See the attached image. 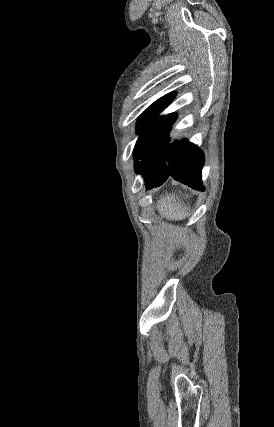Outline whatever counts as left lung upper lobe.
<instances>
[{
  "mask_svg": "<svg viewBox=\"0 0 274 427\" xmlns=\"http://www.w3.org/2000/svg\"><path fill=\"white\" fill-rule=\"evenodd\" d=\"M174 95L175 93H169L159 98L146 109L147 113L144 112L139 117L137 131L141 132V134L134 149L135 160L143 138L145 137L149 129L160 119L156 118L158 113L162 111L172 101Z\"/></svg>",
  "mask_w": 274,
  "mask_h": 427,
  "instance_id": "obj_1",
  "label": "left lung upper lobe"
}]
</instances>
